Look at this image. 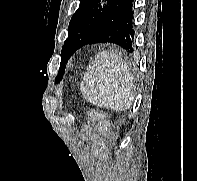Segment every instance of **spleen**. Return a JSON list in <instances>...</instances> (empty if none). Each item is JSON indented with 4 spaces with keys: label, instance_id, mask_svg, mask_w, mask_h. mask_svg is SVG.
Wrapping results in <instances>:
<instances>
[{
    "label": "spleen",
    "instance_id": "3e777b00",
    "mask_svg": "<svg viewBox=\"0 0 197 181\" xmlns=\"http://www.w3.org/2000/svg\"><path fill=\"white\" fill-rule=\"evenodd\" d=\"M83 97L91 104L123 111L134 100L133 77L128 64L114 51H103L89 64L81 82Z\"/></svg>",
    "mask_w": 197,
    "mask_h": 181
}]
</instances>
